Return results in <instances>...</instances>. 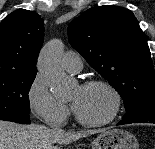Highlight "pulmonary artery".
Segmentation results:
<instances>
[{"label": "pulmonary artery", "instance_id": "obj_1", "mask_svg": "<svg viewBox=\"0 0 155 149\" xmlns=\"http://www.w3.org/2000/svg\"><path fill=\"white\" fill-rule=\"evenodd\" d=\"M63 66L68 72L78 73L83 67L82 58L76 52H67L63 57Z\"/></svg>", "mask_w": 155, "mask_h": 149}]
</instances>
